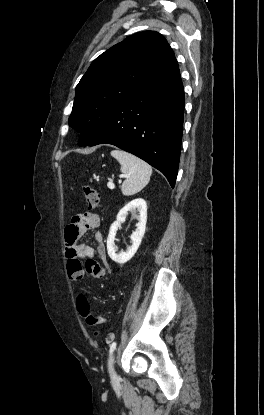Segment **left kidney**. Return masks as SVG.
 <instances>
[{
    "label": "left kidney",
    "mask_w": 264,
    "mask_h": 415,
    "mask_svg": "<svg viewBox=\"0 0 264 415\" xmlns=\"http://www.w3.org/2000/svg\"><path fill=\"white\" fill-rule=\"evenodd\" d=\"M139 212L138 223L136 230L131 235L132 245L127 248L126 251L117 253V247L115 246V236L118 227L124 222L128 212ZM147 222V204L142 198H137L126 204L117 214L116 221H114L110 227L109 235L107 238V250L109 257L118 264H124L128 262L134 254L137 252L142 238L145 233Z\"/></svg>",
    "instance_id": "left-kidney-1"
}]
</instances>
